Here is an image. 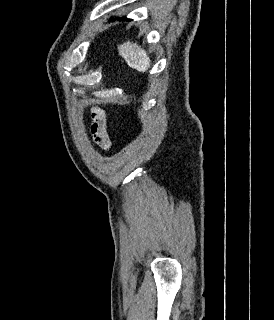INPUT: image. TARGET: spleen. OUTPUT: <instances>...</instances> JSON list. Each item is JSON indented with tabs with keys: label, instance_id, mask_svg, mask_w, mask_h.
<instances>
[{
	"label": "spleen",
	"instance_id": "obj_1",
	"mask_svg": "<svg viewBox=\"0 0 274 320\" xmlns=\"http://www.w3.org/2000/svg\"><path fill=\"white\" fill-rule=\"evenodd\" d=\"M118 52L125 62H127L129 68L133 70H138V72H147L150 68V58L147 56V52L137 46V44H132V42H125L121 44L118 48Z\"/></svg>",
	"mask_w": 274,
	"mask_h": 320
}]
</instances>
